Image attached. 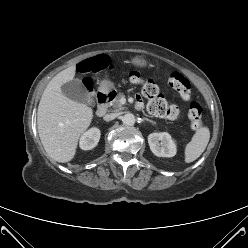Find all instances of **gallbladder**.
Returning a JSON list of instances; mask_svg holds the SVG:
<instances>
[{
    "mask_svg": "<svg viewBox=\"0 0 248 248\" xmlns=\"http://www.w3.org/2000/svg\"><path fill=\"white\" fill-rule=\"evenodd\" d=\"M61 91L66 97L73 101L86 105L91 104L89 94L79 79H73L72 81L63 84Z\"/></svg>",
    "mask_w": 248,
    "mask_h": 248,
    "instance_id": "bac80fb5",
    "label": "gallbladder"
}]
</instances>
